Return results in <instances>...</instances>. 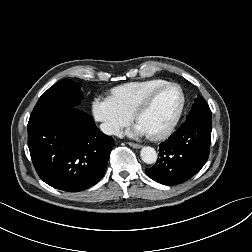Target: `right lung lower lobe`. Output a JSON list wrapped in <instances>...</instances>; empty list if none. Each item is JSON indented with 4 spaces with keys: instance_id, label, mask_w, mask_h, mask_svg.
I'll return each mask as SVG.
<instances>
[{
    "instance_id": "1",
    "label": "right lung lower lobe",
    "mask_w": 252,
    "mask_h": 252,
    "mask_svg": "<svg viewBox=\"0 0 252 252\" xmlns=\"http://www.w3.org/2000/svg\"><path fill=\"white\" fill-rule=\"evenodd\" d=\"M114 144L89 114L76 107L28 122V147L39 177L63 191L78 192L96 184Z\"/></svg>"
}]
</instances>
